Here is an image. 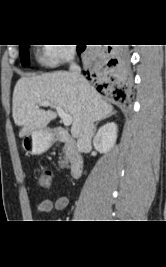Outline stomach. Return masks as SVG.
Returning <instances> with one entry per match:
<instances>
[{
    "instance_id": "0dacf381",
    "label": "stomach",
    "mask_w": 166,
    "mask_h": 267,
    "mask_svg": "<svg viewBox=\"0 0 166 267\" xmlns=\"http://www.w3.org/2000/svg\"><path fill=\"white\" fill-rule=\"evenodd\" d=\"M54 142V135L47 128L31 131L22 141L24 150L32 155H40L46 152Z\"/></svg>"
}]
</instances>
